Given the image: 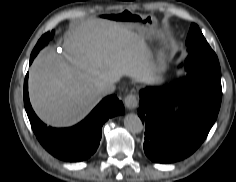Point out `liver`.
<instances>
[{
    "label": "liver",
    "mask_w": 236,
    "mask_h": 182,
    "mask_svg": "<svg viewBox=\"0 0 236 182\" xmlns=\"http://www.w3.org/2000/svg\"><path fill=\"white\" fill-rule=\"evenodd\" d=\"M67 62L43 50L29 72V95L37 115L52 126H71L102 99L100 87L129 76L154 79L156 65L144 38L120 23L96 19L72 27L64 39Z\"/></svg>",
    "instance_id": "6515ba94"
}]
</instances>
